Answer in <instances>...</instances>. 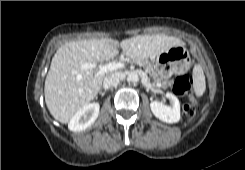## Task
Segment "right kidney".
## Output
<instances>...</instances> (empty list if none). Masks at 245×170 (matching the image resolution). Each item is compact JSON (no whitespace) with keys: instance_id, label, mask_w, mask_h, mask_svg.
I'll return each instance as SVG.
<instances>
[{"instance_id":"right-kidney-1","label":"right kidney","mask_w":245,"mask_h":170,"mask_svg":"<svg viewBox=\"0 0 245 170\" xmlns=\"http://www.w3.org/2000/svg\"><path fill=\"white\" fill-rule=\"evenodd\" d=\"M99 109L100 106L97 102L85 105L69 121V130L80 132L90 127L96 121Z\"/></svg>"}]
</instances>
